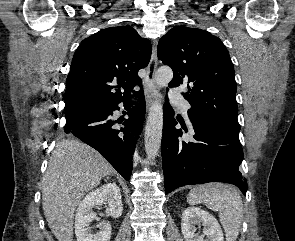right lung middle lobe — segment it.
Masks as SVG:
<instances>
[{
  "label": "right lung middle lobe",
  "mask_w": 295,
  "mask_h": 241,
  "mask_svg": "<svg viewBox=\"0 0 295 241\" xmlns=\"http://www.w3.org/2000/svg\"><path fill=\"white\" fill-rule=\"evenodd\" d=\"M73 115H65L66 119L70 118Z\"/></svg>",
  "instance_id": "obj_1"
}]
</instances>
